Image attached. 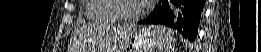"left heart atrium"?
Here are the masks:
<instances>
[{
	"label": "left heart atrium",
	"mask_w": 261,
	"mask_h": 52,
	"mask_svg": "<svg viewBox=\"0 0 261 52\" xmlns=\"http://www.w3.org/2000/svg\"><path fill=\"white\" fill-rule=\"evenodd\" d=\"M140 2L151 3V2H153V1H152V0H141Z\"/></svg>",
	"instance_id": "left-heart-atrium-1"
}]
</instances>
